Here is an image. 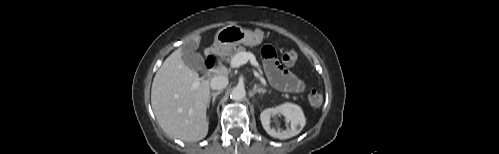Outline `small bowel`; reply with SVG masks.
I'll return each instance as SVG.
<instances>
[{"instance_id": "c3829d8e", "label": "small bowel", "mask_w": 499, "mask_h": 154, "mask_svg": "<svg viewBox=\"0 0 499 154\" xmlns=\"http://www.w3.org/2000/svg\"><path fill=\"white\" fill-rule=\"evenodd\" d=\"M262 55L266 74L275 88L295 93H301L305 90L304 81L279 64L273 47L265 46Z\"/></svg>"}]
</instances>
